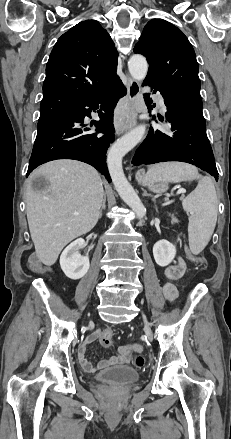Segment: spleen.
I'll return each mask as SVG.
<instances>
[{"label": "spleen", "instance_id": "spleen-1", "mask_svg": "<svg viewBox=\"0 0 231 439\" xmlns=\"http://www.w3.org/2000/svg\"><path fill=\"white\" fill-rule=\"evenodd\" d=\"M198 180V185L182 202L190 213L188 224L189 246L193 254H199L208 244L217 221L218 201L211 178L202 176L198 169L181 162L161 163L151 167L144 185L153 181L181 182Z\"/></svg>", "mask_w": 231, "mask_h": 439}]
</instances>
